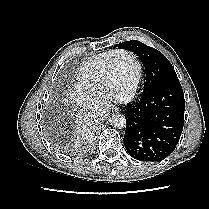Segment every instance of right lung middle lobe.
Masks as SVG:
<instances>
[{
    "mask_svg": "<svg viewBox=\"0 0 209 209\" xmlns=\"http://www.w3.org/2000/svg\"><path fill=\"white\" fill-rule=\"evenodd\" d=\"M55 143L58 146V148L61 151L64 152H69V153H75L77 151H80L72 146H69L67 143H65L62 139H60L59 137L55 139Z\"/></svg>",
    "mask_w": 209,
    "mask_h": 209,
    "instance_id": "dd1d6c3e",
    "label": "right lung middle lobe"
}]
</instances>
